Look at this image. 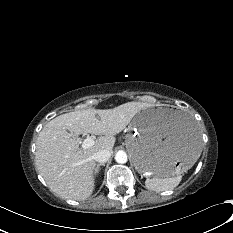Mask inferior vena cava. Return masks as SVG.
<instances>
[{
    "label": "inferior vena cava",
    "mask_w": 233,
    "mask_h": 233,
    "mask_svg": "<svg viewBox=\"0 0 233 233\" xmlns=\"http://www.w3.org/2000/svg\"><path fill=\"white\" fill-rule=\"evenodd\" d=\"M111 157V151L107 149L99 150L95 152L92 156L93 160L99 163H105Z\"/></svg>",
    "instance_id": "inferior-vena-cava-1"
}]
</instances>
